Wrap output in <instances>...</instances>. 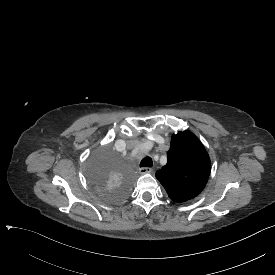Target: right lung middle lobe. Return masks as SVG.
<instances>
[{
    "label": "right lung middle lobe",
    "mask_w": 275,
    "mask_h": 275,
    "mask_svg": "<svg viewBox=\"0 0 275 275\" xmlns=\"http://www.w3.org/2000/svg\"><path fill=\"white\" fill-rule=\"evenodd\" d=\"M87 176L98 198L106 204L120 202L133 188V173L126 157L106 144L94 148Z\"/></svg>",
    "instance_id": "obj_1"
}]
</instances>
